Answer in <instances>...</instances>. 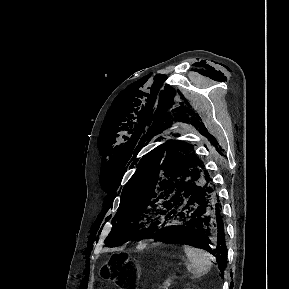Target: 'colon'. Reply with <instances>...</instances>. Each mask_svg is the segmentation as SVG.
<instances>
[{
  "label": "colon",
  "instance_id": "colon-1",
  "mask_svg": "<svg viewBox=\"0 0 289 289\" xmlns=\"http://www.w3.org/2000/svg\"><path fill=\"white\" fill-rule=\"evenodd\" d=\"M100 276L111 281L119 289H135L138 279V271L124 259L114 258L104 265Z\"/></svg>",
  "mask_w": 289,
  "mask_h": 289
}]
</instances>
